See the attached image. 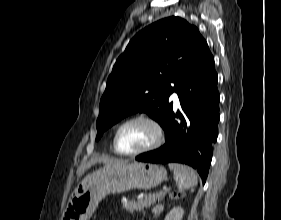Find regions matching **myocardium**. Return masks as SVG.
<instances>
[{
	"instance_id": "myocardium-1",
	"label": "myocardium",
	"mask_w": 281,
	"mask_h": 220,
	"mask_svg": "<svg viewBox=\"0 0 281 220\" xmlns=\"http://www.w3.org/2000/svg\"><path fill=\"white\" fill-rule=\"evenodd\" d=\"M137 121L147 122L154 128L155 138H154L153 142L151 144H149L148 146H146L140 150L134 151V152L120 151L118 148L117 142H118V137H119L121 130L126 125L133 123V122H137ZM163 142H164V131H163V128L160 125V123L156 119H154L153 117H150L148 115H136L131 118H128L127 120H125L118 126V128L115 132L114 138H113V148H114V151L119 155L132 157V156H138V155L150 152L152 150H155L156 148L160 147Z\"/></svg>"
}]
</instances>
